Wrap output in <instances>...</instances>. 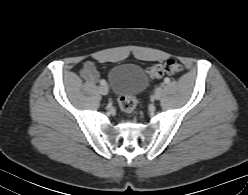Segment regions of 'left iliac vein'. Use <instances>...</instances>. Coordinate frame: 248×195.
<instances>
[{
    "label": "left iliac vein",
    "mask_w": 248,
    "mask_h": 195,
    "mask_svg": "<svg viewBox=\"0 0 248 195\" xmlns=\"http://www.w3.org/2000/svg\"><path fill=\"white\" fill-rule=\"evenodd\" d=\"M161 96H162V89H161V88H158V89L155 91V93H154V98H155L156 100H158V99L161 98Z\"/></svg>",
    "instance_id": "obj_1"
}]
</instances>
